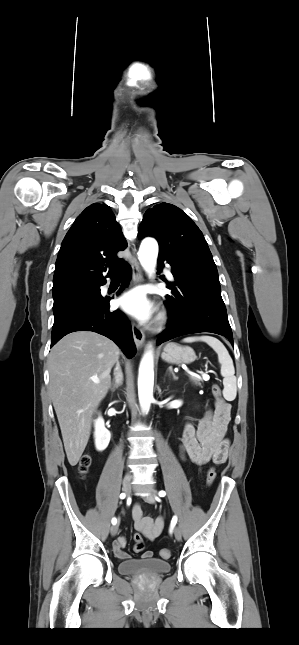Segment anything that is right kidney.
<instances>
[{"label": "right kidney", "instance_id": "1", "mask_svg": "<svg viewBox=\"0 0 299 645\" xmlns=\"http://www.w3.org/2000/svg\"><path fill=\"white\" fill-rule=\"evenodd\" d=\"M94 438H95V446L98 451H103L107 448L111 434L109 430L105 428L104 420L101 416H99L95 421H94Z\"/></svg>", "mask_w": 299, "mask_h": 645}]
</instances>
